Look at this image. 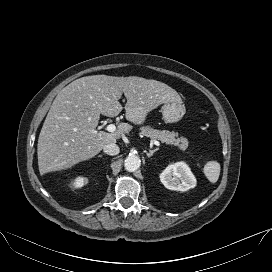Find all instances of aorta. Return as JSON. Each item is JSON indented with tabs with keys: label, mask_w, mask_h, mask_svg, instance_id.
I'll use <instances>...</instances> for the list:
<instances>
[{
	"label": "aorta",
	"mask_w": 272,
	"mask_h": 272,
	"mask_svg": "<svg viewBox=\"0 0 272 272\" xmlns=\"http://www.w3.org/2000/svg\"><path fill=\"white\" fill-rule=\"evenodd\" d=\"M141 160L136 155L128 156L124 161V167L128 172H134L139 169Z\"/></svg>",
	"instance_id": "1"
}]
</instances>
